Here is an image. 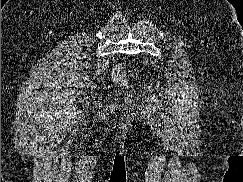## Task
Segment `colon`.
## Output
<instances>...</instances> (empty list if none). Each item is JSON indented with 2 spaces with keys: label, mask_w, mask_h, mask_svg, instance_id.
<instances>
[{
  "label": "colon",
  "mask_w": 243,
  "mask_h": 182,
  "mask_svg": "<svg viewBox=\"0 0 243 182\" xmlns=\"http://www.w3.org/2000/svg\"><path fill=\"white\" fill-rule=\"evenodd\" d=\"M113 80L116 84L120 86L126 85V76L125 72L121 67H117L113 72Z\"/></svg>",
  "instance_id": "1"
}]
</instances>
